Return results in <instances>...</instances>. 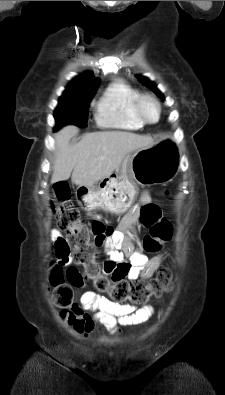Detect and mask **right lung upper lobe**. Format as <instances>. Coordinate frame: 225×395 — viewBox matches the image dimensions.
<instances>
[{
	"label": "right lung upper lobe",
	"instance_id": "obj_1",
	"mask_svg": "<svg viewBox=\"0 0 225 395\" xmlns=\"http://www.w3.org/2000/svg\"><path fill=\"white\" fill-rule=\"evenodd\" d=\"M99 86V79L94 78L91 73L74 78L66 87L64 93L71 94H91L95 93Z\"/></svg>",
	"mask_w": 225,
	"mask_h": 395
}]
</instances>
